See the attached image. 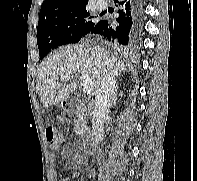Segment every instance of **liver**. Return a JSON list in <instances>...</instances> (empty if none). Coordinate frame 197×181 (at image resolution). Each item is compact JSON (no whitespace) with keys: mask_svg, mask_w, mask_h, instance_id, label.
Masks as SVG:
<instances>
[{"mask_svg":"<svg viewBox=\"0 0 197 181\" xmlns=\"http://www.w3.org/2000/svg\"><path fill=\"white\" fill-rule=\"evenodd\" d=\"M125 70V65L110 51L95 45L83 47L69 45L49 55L38 71L36 90L44 107L56 105L77 88L76 83L60 84V75L87 74L93 81L92 95H96L102 76H113Z\"/></svg>","mask_w":197,"mask_h":181,"instance_id":"obj_1","label":"liver"}]
</instances>
